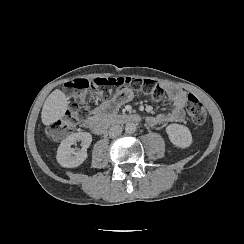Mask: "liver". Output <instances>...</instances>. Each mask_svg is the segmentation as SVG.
Listing matches in <instances>:
<instances>
[{
	"mask_svg": "<svg viewBox=\"0 0 244 244\" xmlns=\"http://www.w3.org/2000/svg\"><path fill=\"white\" fill-rule=\"evenodd\" d=\"M68 100L65 94L59 90H54L46 98L42 107L41 119L44 125H50L61 119L68 109Z\"/></svg>",
	"mask_w": 244,
	"mask_h": 244,
	"instance_id": "liver-1",
	"label": "liver"
}]
</instances>
